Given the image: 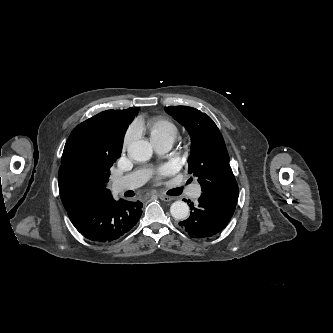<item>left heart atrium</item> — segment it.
<instances>
[{
    "mask_svg": "<svg viewBox=\"0 0 333 333\" xmlns=\"http://www.w3.org/2000/svg\"><path fill=\"white\" fill-rule=\"evenodd\" d=\"M173 171V167L171 165H166V166H163L159 172H158V176L159 177H163V176H166L170 173H172Z\"/></svg>",
    "mask_w": 333,
    "mask_h": 333,
    "instance_id": "obj_1",
    "label": "left heart atrium"
}]
</instances>
